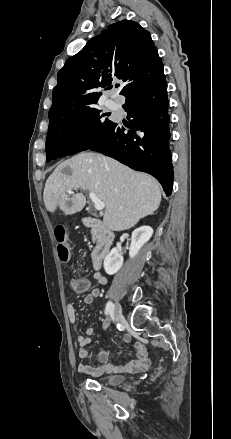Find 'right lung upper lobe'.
Listing matches in <instances>:
<instances>
[{"label":"right lung upper lobe","instance_id":"cb5924a9","mask_svg":"<svg viewBox=\"0 0 231 439\" xmlns=\"http://www.w3.org/2000/svg\"><path fill=\"white\" fill-rule=\"evenodd\" d=\"M164 77L162 60L148 31L137 22L122 20L91 39L58 72L49 122L96 107L98 88L122 80L127 97Z\"/></svg>","mask_w":231,"mask_h":439}]
</instances>
